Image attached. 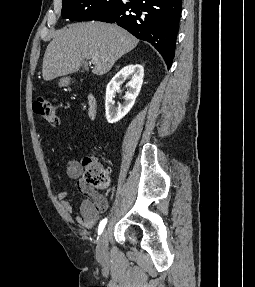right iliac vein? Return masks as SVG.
Wrapping results in <instances>:
<instances>
[{"label":"right iliac vein","instance_id":"63e3f726","mask_svg":"<svg viewBox=\"0 0 255 287\" xmlns=\"http://www.w3.org/2000/svg\"><path fill=\"white\" fill-rule=\"evenodd\" d=\"M108 229H105L99 238L96 254L99 261L104 262L108 258Z\"/></svg>","mask_w":255,"mask_h":287}]
</instances>
